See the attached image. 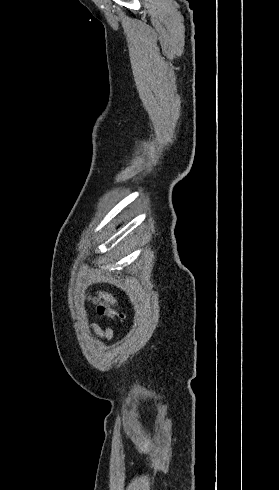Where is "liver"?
Instances as JSON below:
<instances>
[{"mask_svg": "<svg viewBox=\"0 0 279 490\" xmlns=\"http://www.w3.org/2000/svg\"><path fill=\"white\" fill-rule=\"evenodd\" d=\"M99 298H103L106 302H110V304H117L116 298H113L112 294H108V292H97Z\"/></svg>", "mask_w": 279, "mask_h": 490, "instance_id": "1", "label": "liver"}]
</instances>
